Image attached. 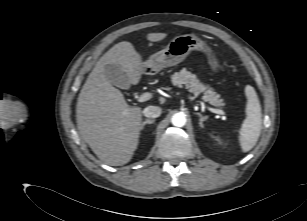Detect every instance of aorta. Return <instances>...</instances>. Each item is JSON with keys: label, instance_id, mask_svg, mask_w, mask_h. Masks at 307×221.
I'll use <instances>...</instances> for the list:
<instances>
[{"label": "aorta", "instance_id": "aorta-1", "mask_svg": "<svg viewBox=\"0 0 307 221\" xmlns=\"http://www.w3.org/2000/svg\"><path fill=\"white\" fill-rule=\"evenodd\" d=\"M171 123L176 127H183L186 124V116L183 113H175L171 117Z\"/></svg>", "mask_w": 307, "mask_h": 221}]
</instances>
